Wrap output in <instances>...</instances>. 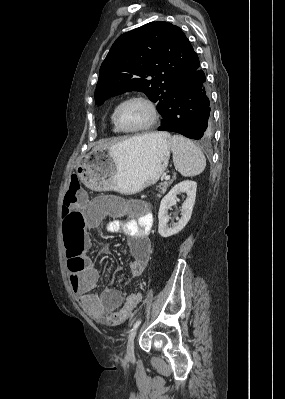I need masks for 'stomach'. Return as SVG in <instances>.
Returning <instances> with one entry per match:
<instances>
[{
	"label": "stomach",
	"instance_id": "1",
	"mask_svg": "<svg viewBox=\"0 0 285 399\" xmlns=\"http://www.w3.org/2000/svg\"><path fill=\"white\" fill-rule=\"evenodd\" d=\"M171 138H133L108 149H94L76 165L82 183L94 191L135 194L155 184L166 170Z\"/></svg>",
	"mask_w": 285,
	"mask_h": 399
}]
</instances>
